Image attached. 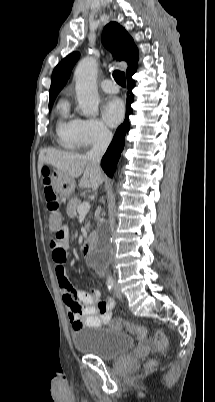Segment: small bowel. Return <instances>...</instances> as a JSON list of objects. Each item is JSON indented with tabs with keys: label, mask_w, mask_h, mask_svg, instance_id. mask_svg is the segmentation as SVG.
I'll return each mask as SVG.
<instances>
[{
	"label": "small bowel",
	"mask_w": 215,
	"mask_h": 402,
	"mask_svg": "<svg viewBox=\"0 0 215 402\" xmlns=\"http://www.w3.org/2000/svg\"><path fill=\"white\" fill-rule=\"evenodd\" d=\"M50 247L62 300L67 307L73 329L101 327L107 324L114 307L113 299L102 300L98 290L86 292L75 289L66 275L64 263L68 258L69 233L65 227L57 232L56 238L50 242Z\"/></svg>",
	"instance_id": "obj_1"
}]
</instances>
